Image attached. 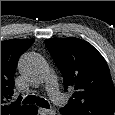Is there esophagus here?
Segmentation results:
<instances>
[{"label": "esophagus", "mask_w": 115, "mask_h": 115, "mask_svg": "<svg viewBox=\"0 0 115 115\" xmlns=\"http://www.w3.org/2000/svg\"><path fill=\"white\" fill-rule=\"evenodd\" d=\"M40 113H42L43 115H53L55 114V110L40 108Z\"/></svg>", "instance_id": "obj_1"}]
</instances>
